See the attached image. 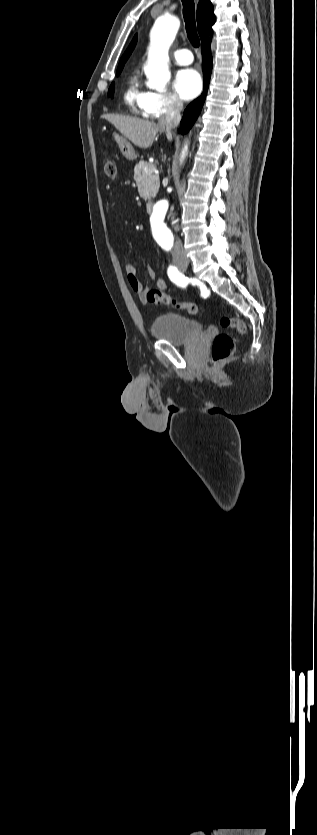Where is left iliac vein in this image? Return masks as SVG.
<instances>
[{
  "label": "left iliac vein",
  "mask_w": 317,
  "mask_h": 835,
  "mask_svg": "<svg viewBox=\"0 0 317 835\" xmlns=\"http://www.w3.org/2000/svg\"><path fill=\"white\" fill-rule=\"evenodd\" d=\"M181 269H182L183 271H185V270H186V268H181Z\"/></svg>",
  "instance_id": "obj_1"
}]
</instances>
